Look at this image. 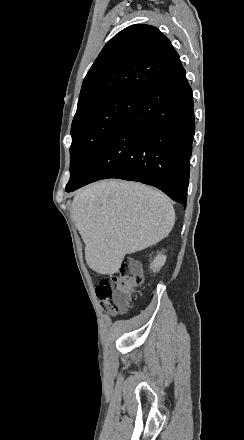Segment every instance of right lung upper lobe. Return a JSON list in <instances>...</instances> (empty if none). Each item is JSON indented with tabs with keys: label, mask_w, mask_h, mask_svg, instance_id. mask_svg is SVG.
I'll return each mask as SVG.
<instances>
[{
	"label": "right lung upper lobe",
	"mask_w": 244,
	"mask_h": 440,
	"mask_svg": "<svg viewBox=\"0 0 244 440\" xmlns=\"http://www.w3.org/2000/svg\"><path fill=\"white\" fill-rule=\"evenodd\" d=\"M181 67L179 55L159 29L129 26L102 49L83 81L78 105L120 94L142 97Z\"/></svg>",
	"instance_id": "cb5924a9"
}]
</instances>
